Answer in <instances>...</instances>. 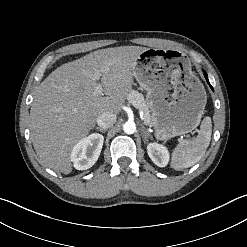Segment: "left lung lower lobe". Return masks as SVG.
Here are the masks:
<instances>
[{
	"label": "left lung lower lobe",
	"mask_w": 247,
	"mask_h": 247,
	"mask_svg": "<svg viewBox=\"0 0 247 247\" xmlns=\"http://www.w3.org/2000/svg\"><path fill=\"white\" fill-rule=\"evenodd\" d=\"M204 75H205V78H206V81L208 82V84L210 85V83H209V80H208V77H207V74L206 73H204ZM210 87H211V89L213 90V87L210 85Z\"/></svg>",
	"instance_id": "obj_1"
}]
</instances>
